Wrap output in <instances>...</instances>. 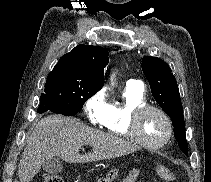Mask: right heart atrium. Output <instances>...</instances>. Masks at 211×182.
I'll return each instance as SVG.
<instances>
[{"mask_svg":"<svg viewBox=\"0 0 211 182\" xmlns=\"http://www.w3.org/2000/svg\"><path fill=\"white\" fill-rule=\"evenodd\" d=\"M109 105L104 90H100L89 97L84 104V111L89 122L93 125H102L108 114Z\"/></svg>","mask_w":211,"mask_h":182,"instance_id":"right-heart-atrium-1","label":"right heart atrium"}]
</instances>
